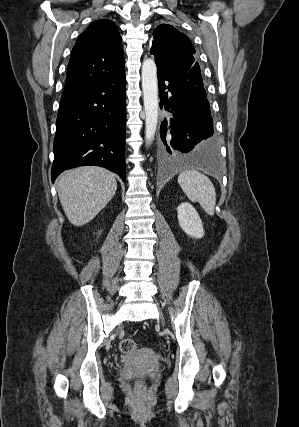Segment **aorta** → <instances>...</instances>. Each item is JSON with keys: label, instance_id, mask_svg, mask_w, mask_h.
<instances>
[{"label": "aorta", "instance_id": "1", "mask_svg": "<svg viewBox=\"0 0 299 427\" xmlns=\"http://www.w3.org/2000/svg\"><path fill=\"white\" fill-rule=\"evenodd\" d=\"M142 90L145 110V142L154 140L158 124V81L155 61L144 60L142 65Z\"/></svg>", "mask_w": 299, "mask_h": 427}]
</instances>
